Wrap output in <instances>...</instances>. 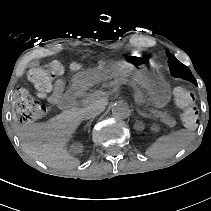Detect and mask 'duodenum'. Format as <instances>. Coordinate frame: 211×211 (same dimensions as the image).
I'll list each match as a JSON object with an SVG mask.
<instances>
[{"instance_id": "obj_1", "label": "duodenum", "mask_w": 211, "mask_h": 211, "mask_svg": "<svg viewBox=\"0 0 211 211\" xmlns=\"http://www.w3.org/2000/svg\"><path fill=\"white\" fill-rule=\"evenodd\" d=\"M81 92V85L79 83L73 84L68 91L59 99L58 106L63 109L67 110L72 107L75 100L79 96Z\"/></svg>"}]
</instances>
